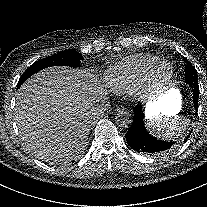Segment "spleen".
Segmentation results:
<instances>
[{
  "label": "spleen",
  "mask_w": 207,
  "mask_h": 207,
  "mask_svg": "<svg viewBox=\"0 0 207 207\" xmlns=\"http://www.w3.org/2000/svg\"><path fill=\"white\" fill-rule=\"evenodd\" d=\"M178 126L183 131H188L193 126V121L188 116H183L178 121ZM175 123L170 118L164 119H148L143 124V129L148 134H163L170 133L174 130Z\"/></svg>",
  "instance_id": "spleen-1"
}]
</instances>
